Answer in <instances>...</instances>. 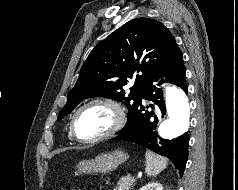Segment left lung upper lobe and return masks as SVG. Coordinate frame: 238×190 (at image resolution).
I'll return each instance as SVG.
<instances>
[{
	"instance_id": "obj_1",
	"label": "left lung upper lobe",
	"mask_w": 238,
	"mask_h": 190,
	"mask_svg": "<svg viewBox=\"0 0 238 190\" xmlns=\"http://www.w3.org/2000/svg\"><path fill=\"white\" fill-rule=\"evenodd\" d=\"M179 50L162 23L149 18L130 20L91 51L58 120L89 97L120 101L129 109V117L149 79ZM127 78L132 79L133 84L129 94L123 89Z\"/></svg>"
}]
</instances>
